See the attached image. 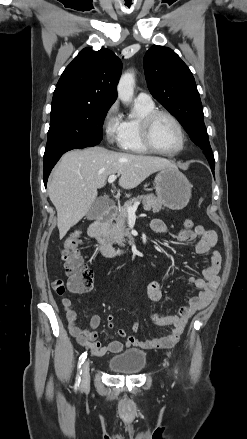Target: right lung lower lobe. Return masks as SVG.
Returning <instances> with one entry per match:
<instances>
[{"label": "right lung lower lobe", "mask_w": 247, "mask_h": 439, "mask_svg": "<svg viewBox=\"0 0 247 439\" xmlns=\"http://www.w3.org/2000/svg\"><path fill=\"white\" fill-rule=\"evenodd\" d=\"M60 157H57V158L47 162L46 164H44V172H43L44 178H43V181H44L45 186L47 184V180H48V176L50 174V171L52 170L54 165L57 163V161L60 159Z\"/></svg>", "instance_id": "1"}]
</instances>
